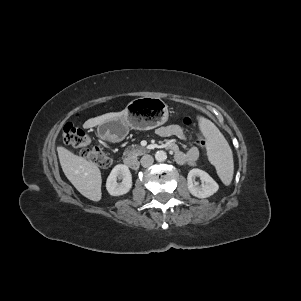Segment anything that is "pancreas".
I'll use <instances>...</instances> for the list:
<instances>
[{
	"mask_svg": "<svg viewBox=\"0 0 301 301\" xmlns=\"http://www.w3.org/2000/svg\"><path fill=\"white\" fill-rule=\"evenodd\" d=\"M143 154H145V149L137 145H133L132 149L127 148L124 152V156L131 158H137L138 156H141Z\"/></svg>",
	"mask_w": 301,
	"mask_h": 301,
	"instance_id": "obj_1",
	"label": "pancreas"
}]
</instances>
